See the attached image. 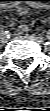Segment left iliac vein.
<instances>
[{"label":"left iliac vein","instance_id":"left-iliac-vein-1","mask_svg":"<svg viewBox=\"0 0 50 111\" xmlns=\"http://www.w3.org/2000/svg\"><path fill=\"white\" fill-rule=\"evenodd\" d=\"M35 38H36V40H37L39 43H43V42H44V39H43L40 35H36Z\"/></svg>","mask_w":50,"mask_h":111}]
</instances>
